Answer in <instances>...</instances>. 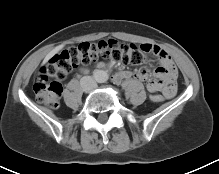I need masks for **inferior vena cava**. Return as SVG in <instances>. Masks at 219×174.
Here are the masks:
<instances>
[{"instance_id":"obj_1","label":"inferior vena cava","mask_w":219,"mask_h":174,"mask_svg":"<svg viewBox=\"0 0 219 174\" xmlns=\"http://www.w3.org/2000/svg\"><path fill=\"white\" fill-rule=\"evenodd\" d=\"M81 87L84 91L89 92L97 88V83L91 76H84L80 80Z\"/></svg>"}]
</instances>
